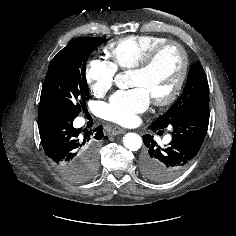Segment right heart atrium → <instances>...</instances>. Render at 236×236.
I'll return each instance as SVG.
<instances>
[{
	"instance_id": "obj_1",
	"label": "right heart atrium",
	"mask_w": 236,
	"mask_h": 236,
	"mask_svg": "<svg viewBox=\"0 0 236 236\" xmlns=\"http://www.w3.org/2000/svg\"><path fill=\"white\" fill-rule=\"evenodd\" d=\"M85 81L96 96L105 95L113 86L115 66L100 57L90 58L85 65Z\"/></svg>"
}]
</instances>
